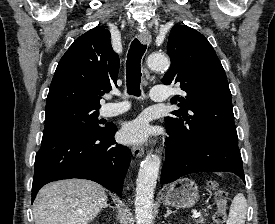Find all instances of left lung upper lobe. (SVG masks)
Instances as JSON below:
<instances>
[{"label":"left lung upper lobe","instance_id":"obj_1","mask_svg":"<svg viewBox=\"0 0 275 224\" xmlns=\"http://www.w3.org/2000/svg\"><path fill=\"white\" fill-rule=\"evenodd\" d=\"M167 52L171 66L162 82L179 83L186 94L171 100L181 109L165 117L166 124L183 134L207 129L237 135L227 77L208 40L186 25L173 27Z\"/></svg>","mask_w":275,"mask_h":224}]
</instances>
